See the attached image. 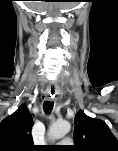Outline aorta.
<instances>
[{
  "mask_svg": "<svg viewBox=\"0 0 118 151\" xmlns=\"http://www.w3.org/2000/svg\"><path fill=\"white\" fill-rule=\"evenodd\" d=\"M70 129L71 125L68 121H56L50 126L48 136L51 140H58L63 138L70 131Z\"/></svg>",
  "mask_w": 118,
  "mask_h": 151,
  "instance_id": "aorta-1",
  "label": "aorta"
}]
</instances>
